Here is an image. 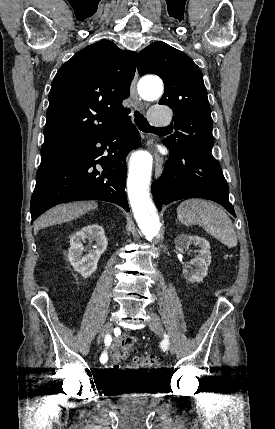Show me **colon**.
I'll list each match as a JSON object with an SVG mask.
<instances>
[{
    "mask_svg": "<svg viewBox=\"0 0 275 429\" xmlns=\"http://www.w3.org/2000/svg\"><path fill=\"white\" fill-rule=\"evenodd\" d=\"M134 344V338L124 341L114 352V362L118 363L127 354L128 350ZM136 362L142 367L150 370L151 372H157L161 369V361L159 358L151 355H141L136 357Z\"/></svg>",
    "mask_w": 275,
    "mask_h": 429,
    "instance_id": "colon-1",
    "label": "colon"
}]
</instances>
